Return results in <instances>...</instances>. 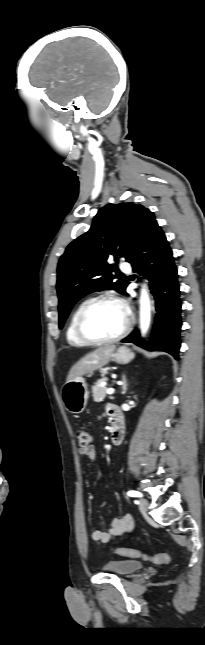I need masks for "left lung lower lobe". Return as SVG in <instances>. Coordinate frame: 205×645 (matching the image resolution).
<instances>
[{"instance_id": "0a47b994", "label": "left lung lower lobe", "mask_w": 205, "mask_h": 645, "mask_svg": "<svg viewBox=\"0 0 205 645\" xmlns=\"http://www.w3.org/2000/svg\"><path fill=\"white\" fill-rule=\"evenodd\" d=\"M130 263L134 271L146 275L157 314L149 343L142 341L139 331L132 332L122 342H131L151 351H165L178 359L182 326L178 273L172 250L157 222L147 230Z\"/></svg>"}]
</instances>
